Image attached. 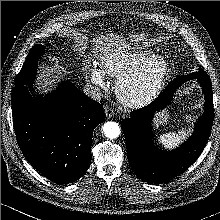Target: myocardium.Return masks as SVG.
<instances>
[{"instance_id":"myocardium-1","label":"myocardium","mask_w":220,"mask_h":220,"mask_svg":"<svg viewBox=\"0 0 220 220\" xmlns=\"http://www.w3.org/2000/svg\"><path fill=\"white\" fill-rule=\"evenodd\" d=\"M169 73V62L162 54L147 56L139 65L118 78L116 93L128 107L141 108L151 103L161 92ZM142 83L138 92L131 88Z\"/></svg>"}]
</instances>
